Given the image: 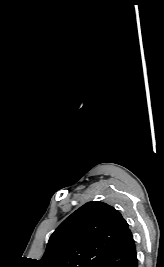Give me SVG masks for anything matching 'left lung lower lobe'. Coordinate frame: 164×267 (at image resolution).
<instances>
[{
	"label": "left lung lower lobe",
	"mask_w": 164,
	"mask_h": 267,
	"mask_svg": "<svg viewBox=\"0 0 164 267\" xmlns=\"http://www.w3.org/2000/svg\"><path fill=\"white\" fill-rule=\"evenodd\" d=\"M100 267H138L135 242L129 228H127Z\"/></svg>",
	"instance_id": "1"
}]
</instances>
